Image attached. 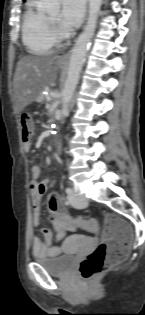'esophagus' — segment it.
<instances>
[{"label": "esophagus", "instance_id": "obj_1", "mask_svg": "<svg viewBox=\"0 0 145 315\" xmlns=\"http://www.w3.org/2000/svg\"><path fill=\"white\" fill-rule=\"evenodd\" d=\"M70 53H71V51H68L67 53H65V54L61 57V61L67 62V61L69 60Z\"/></svg>", "mask_w": 145, "mask_h": 315}]
</instances>
